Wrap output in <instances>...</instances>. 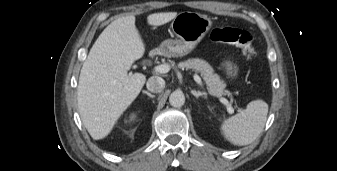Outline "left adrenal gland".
Instances as JSON below:
<instances>
[{
  "label": "left adrenal gland",
  "mask_w": 337,
  "mask_h": 171,
  "mask_svg": "<svg viewBox=\"0 0 337 171\" xmlns=\"http://www.w3.org/2000/svg\"><path fill=\"white\" fill-rule=\"evenodd\" d=\"M191 93L198 99L199 97H202L204 99H207V94L206 93H202V92H197L195 90H192Z\"/></svg>",
  "instance_id": "a2214340"
}]
</instances>
